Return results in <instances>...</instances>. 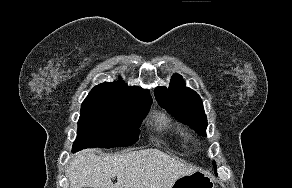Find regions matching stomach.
<instances>
[{
	"mask_svg": "<svg viewBox=\"0 0 292 188\" xmlns=\"http://www.w3.org/2000/svg\"><path fill=\"white\" fill-rule=\"evenodd\" d=\"M170 188H215V182L210 173L196 170L178 178Z\"/></svg>",
	"mask_w": 292,
	"mask_h": 188,
	"instance_id": "0dacf381",
	"label": "stomach"
}]
</instances>
